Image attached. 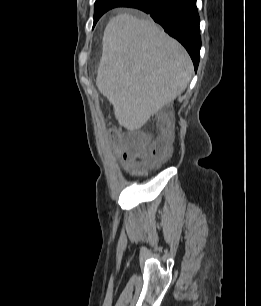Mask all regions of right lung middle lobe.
I'll return each instance as SVG.
<instances>
[{
  "mask_svg": "<svg viewBox=\"0 0 261 306\" xmlns=\"http://www.w3.org/2000/svg\"><path fill=\"white\" fill-rule=\"evenodd\" d=\"M127 1L128 0H106L96 3L94 7V25L106 11L115 7H120Z\"/></svg>",
  "mask_w": 261,
  "mask_h": 306,
  "instance_id": "obj_1",
  "label": "right lung middle lobe"
}]
</instances>
